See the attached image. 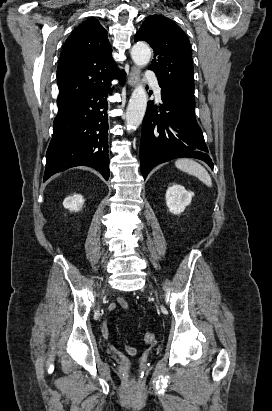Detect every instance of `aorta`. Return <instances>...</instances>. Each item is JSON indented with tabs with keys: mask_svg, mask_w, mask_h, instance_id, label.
Masks as SVG:
<instances>
[{
	"mask_svg": "<svg viewBox=\"0 0 272 411\" xmlns=\"http://www.w3.org/2000/svg\"><path fill=\"white\" fill-rule=\"evenodd\" d=\"M131 57L137 66H145L151 58V50L145 43H136L131 49ZM147 107V94L142 85L134 89L126 111L128 129H136L142 122Z\"/></svg>",
	"mask_w": 272,
	"mask_h": 411,
	"instance_id": "1",
	"label": "aorta"
}]
</instances>
